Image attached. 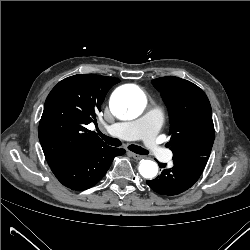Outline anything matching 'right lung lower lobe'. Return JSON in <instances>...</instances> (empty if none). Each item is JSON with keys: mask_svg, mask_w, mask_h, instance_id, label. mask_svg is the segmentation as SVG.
Wrapping results in <instances>:
<instances>
[{"mask_svg": "<svg viewBox=\"0 0 250 250\" xmlns=\"http://www.w3.org/2000/svg\"><path fill=\"white\" fill-rule=\"evenodd\" d=\"M124 153V149L100 146L86 151L75 160L55 163L50 168L60 183L72 190L82 191L98 183L114 157Z\"/></svg>", "mask_w": 250, "mask_h": 250, "instance_id": "98d812e1", "label": "right lung lower lobe"}]
</instances>
